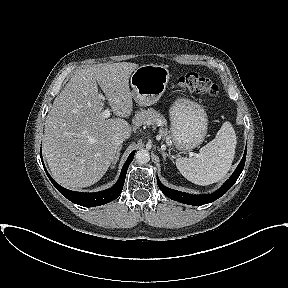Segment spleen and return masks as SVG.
<instances>
[{
    "label": "spleen",
    "mask_w": 288,
    "mask_h": 288,
    "mask_svg": "<svg viewBox=\"0 0 288 288\" xmlns=\"http://www.w3.org/2000/svg\"><path fill=\"white\" fill-rule=\"evenodd\" d=\"M235 131L225 122L216 137L203 146L194 157H179L176 166L180 173L197 185H210L223 179L231 168L237 144Z\"/></svg>",
    "instance_id": "spleen-1"
}]
</instances>
